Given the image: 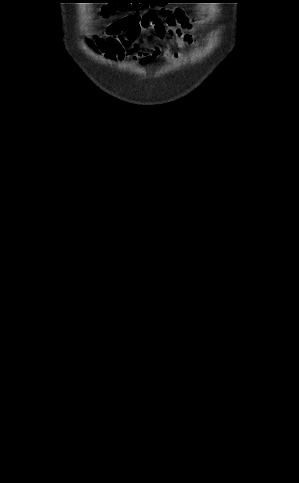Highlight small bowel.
Wrapping results in <instances>:
<instances>
[{
	"label": "small bowel",
	"mask_w": 299,
	"mask_h": 483,
	"mask_svg": "<svg viewBox=\"0 0 299 483\" xmlns=\"http://www.w3.org/2000/svg\"><path fill=\"white\" fill-rule=\"evenodd\" d=\"M165 14L163 21L154 11H134L108 24L102 37L87 39L85 44L94 54L114 62L131 60L150 63L159 57L165 61L178 62L183 58L185 47L194 42L191 19L182 9L166 11ZM143 33L158 39H168V43L163 49L149 45L144 50L137 42Z\"/></svg>",
	"instance_id": "1"
}]
</instances>
